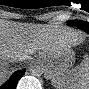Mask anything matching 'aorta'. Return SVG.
<instances>
[{"label":"aorta","mask_w":89,"mask_h":89,"mask_svg":"<svg viewBox=\"0 0 89 89\" xmlns=\"http://www.w3.org/2000/svg\"><path fill=\"white\" fill-rule=\"evenodd\" d=\"M29 72L32 76H40L44 73V69L42 65L38 63H34L29 67Z\"/></svg>","instance_id":"762f6f07"}]
</instances>
